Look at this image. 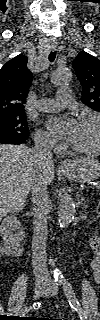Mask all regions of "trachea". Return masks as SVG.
<instances>
[{"instance_id":"3493384b","label":"trachea","mask_w":100,"mask_h":320,"mask_svg":"<svg viewBox=\"0 0 100 320\" xmlns=\"http://www.w3.org/2000/svg\"><path fill=\"white\" fill-rule=\"evenodd\" d=\"M48 58H49L50 62H53L55 60V58H56V52L55 51L50 52Z\"/></svg>"}]
</instances>
